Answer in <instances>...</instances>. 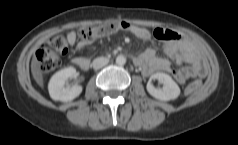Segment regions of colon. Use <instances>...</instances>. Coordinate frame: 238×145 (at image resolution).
<instances>
[{
    "label": "colon",
    "instance_id": "colon-1",
    "mask_svg": "<svg viewBox=\"0 0 238 145\" xmlns=\"http://www.w3.org/2000/svg\"><path fill=\"white\" fill-rule=\"evenodd\" d=\"M130 24L125 22L106 23L100 26L84 27L79 31L80 43L85 45L98 38L109 35L115 31L128 30ZM68 51V43L64 36L57 35L48 43L42 45L36 53L37 66L42 74H49L59 65L61 57ZM201 87L200 81L187 85L185 92L191 94Z\"/></svg>",
    "mask_w": 238,
    "mask_h": 145
}]
</instances>
